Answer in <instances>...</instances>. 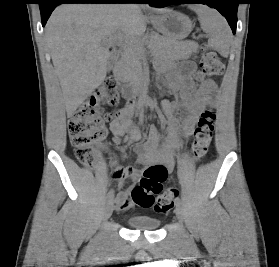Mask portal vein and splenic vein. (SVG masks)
Wrapping results in <instances>:
<instances>
[{
  "mask_svg": "<svg viewBox=\"0 0 279 267\" xmlns=\"http://www.w3.org/2000/svg\"><path fill=\"white\" fill-rule=\"evenodd\" d=\"M135 40L132 39H126L125 37H121V36H112L108 39L105 40V43L107 45H111V44H118V45H126L128 43H131Z\"/></svg>",
  "mask_w": 279,
  "mask_h": 267,
  "instance_id": "obj_1",
  "label": "portal vein and splenic vein"
}]
</instances>
